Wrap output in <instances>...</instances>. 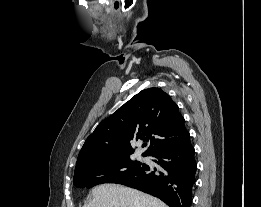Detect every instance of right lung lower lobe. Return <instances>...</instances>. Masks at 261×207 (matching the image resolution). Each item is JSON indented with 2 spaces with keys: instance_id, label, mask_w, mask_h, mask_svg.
<instances>
[{
  "instance_id": "obj_1",
  "label": "right lung lower lobe",
  "mask_w": 261,
  "mask_h": 207,
  "mask_svg": "<svg viewBox=\"0 0 261 207\" xmlns=\"http://www.w3.org/2000/svg\"><path fill=\"white\" fill-rule=\"evenodd\" d=\"M159 168L146 165L118 184L136 188L160 198L170 207H190L197 164L190 137L182 144L151 155Z\"/></svg>"
}]
</instances>
